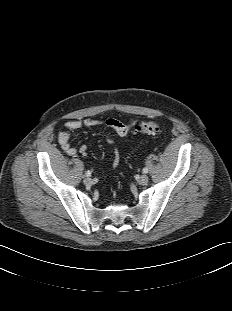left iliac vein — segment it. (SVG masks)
<instances>
[{
    "instance_id": "obj_1",
    "label": "left iliac vein",
    "mask_w": 232,
    "mask_h": 311,
    "mask_svg": "<svg viewBox=\"0 0 232 311\" xmlns=\"http://www.w3.org/2000/svg\"><path fill=\"white\" fill-rule=\"evenodd\" d=\"M149 181V177L147 175H142L139 179H138V183L141 185H145L147 184Z\"/></svg>"
}]
</instances>
